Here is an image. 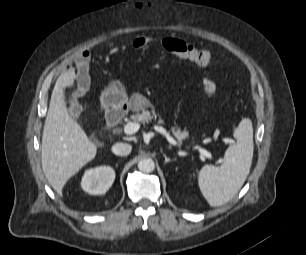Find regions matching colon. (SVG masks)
Here are the masks:
<instances>
[{
	"label": "colon",
	"instance_id": "obj_1",
	"mask_svg": "<svg viewBox=\"0 0 306 255\" xmlns=\"http://www.w3.org/2000/svg\"><path fill=\"white\" fill-rule=\"evenodd\" d=\"M149 39L139 37L133 42L135 49H144L147 47ZM163 47L180 56L186 58L201 67H211L214 64V57L208 50L196 47L194 44L175 38H165L162 40ZM217 86L211 79L204 80V92L207 97L213 98L216 95Z\"/></svg>",
	"mask_w": 306,
	"mask_h": 255
}]
</instances>
